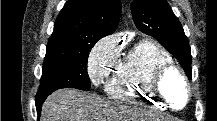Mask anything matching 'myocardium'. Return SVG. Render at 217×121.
I'll return each instance as SVG.
<instances>
[{"instance_id": "1", "label": "myocardium", "mask_w": 217, "mask_h": 121, "mask_svg": "<svg viewBox=\"0 0 217 121\" xmlns=\"http://www.w3.org/2000/svg\"><path fill=\"white\" fill-rule=\"evenodd\" d=\"M177 76L184 85V91H185V101L181 106H176L172 103V101L168 98V96L165 94L163 90V83L164 81L172 76ZM151 90L154 95V97L163 105L168 107L169 109H172L174 111H180L183 110L191 99V87L190 83L188 81V78L186 77L185 73L180 69L178 66H176L173 63L165 64L160 66L153 74V77L151 79Z\"/></svg>"}]
</instances>
